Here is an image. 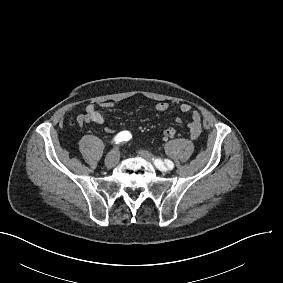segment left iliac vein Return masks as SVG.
<instances>
[{"label": "left iliac vein", "instance_id": "obj_1", "mask_svg": "<svg viewBox=\"0 0 283 283\" xmlns=\"http://www.w3.org/2000/svg\"><path fill=\"white\" fill-rule=\"evenodd\" d=\"M139 155L150 162H153L155 160L154 157L148 151L143 149L139 151ZM158 168L163 172L168 171V168L163 163H161L160 166H158Z\"/></svg>", "mask_w": 283, "mask_h": 283}]
</instances>
